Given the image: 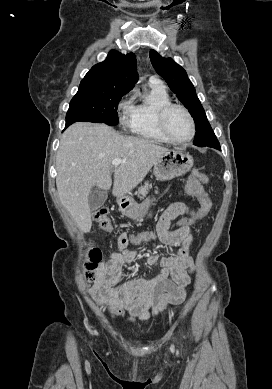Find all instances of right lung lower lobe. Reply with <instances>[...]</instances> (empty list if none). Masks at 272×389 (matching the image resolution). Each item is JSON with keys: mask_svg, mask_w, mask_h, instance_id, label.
<instances>
[{"mask_svg": "<svg viewBox=\"0 0 272 389\" xmlns=\"http://www.w3.org/2000/svg\"><path fill=\"white\" fill-rule=\"evenodd\" d=\"M72 123H68V122H66V126H65V129L69 126V125H71Z\"/></svg>", "mask_w": 272, "mask_h": 389, "instance_id": "1", "label": "right lung lower lobe"}]
</instances>
